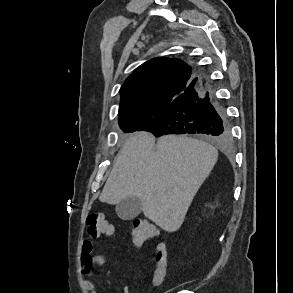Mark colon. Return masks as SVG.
<instances>
[{"label": "colon", "mask_w": 293, "mask_h": 293, "mask_svg": "<svg viewBox=\"0 0 293 293\" xmlns=\"http://www.w3.org/2000/svg\"><path fill=\"white\" fill-rule=\"evenodd\" d=\"M87 232L91 238H98L101 235L111 234L112 226L105 219L102 212L93 211L86 218ZM130 235L135 245L140 246L159 235L156 227L144 218H136L130 226ZM156 267L154 269L153 282L160 285L166 275L167 259L165 247L159 244L155 256Z\"/></svg>", "instance_id": "1"}]
</instances>
